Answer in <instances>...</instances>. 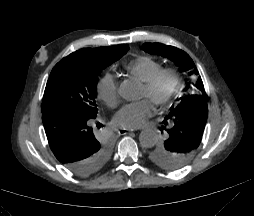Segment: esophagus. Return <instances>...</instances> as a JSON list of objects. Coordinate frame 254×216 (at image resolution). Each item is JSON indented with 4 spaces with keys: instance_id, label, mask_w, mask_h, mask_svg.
I'll use <instances>...</instances> for the list:
<instances>
[{
    "instance_id": "1",
    "label": "esophagus",
    "mask_w": 254,
    "mask_h": 216,
    "mask_svg": "<svg viewBox=\"0 0 254 216\" xmlns=\"http://www.w3.org/2000/svg\"><path fill=\"white\" fill-rule=\"evenodd\" d=\"M128 131H133V129H131V130H121V133L124 135V134H126Z\"/></svg>"
}]
</instances>
